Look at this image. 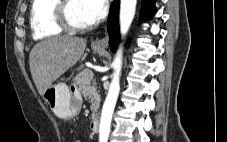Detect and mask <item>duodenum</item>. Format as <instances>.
Listing matches in <instances>:
<instances>
[{
	"mask_svg": "<svg viewBox=\"0 0 227 142\" xmlns=\"http://www.w3.org/2000/svg\"><path fill=\"white\" fill-rule=\"evenodd\" d=\"M90 130L92 133H97L99 130V119L96 117L91 121Z\"/></svg>",
	"mask_w": 227,
	"mask_h": 142,
	"instance_id": "obj_1",
	"label": "duodenum"
}]
</instances>
